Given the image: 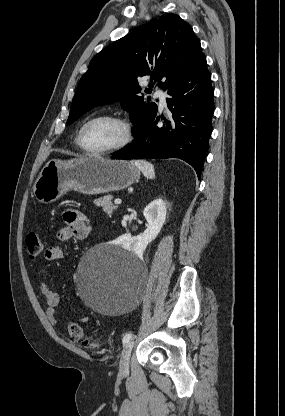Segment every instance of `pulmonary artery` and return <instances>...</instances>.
<instances>
[{
    "label": "pulmonary artery",
    "mask_w": 285,
    "mask_h": 416,
    "mask_svg": "<svg viewBox=\"0 0 285 416\" xmlns=\"http://www.w3.org/2000/svg\"><path fill=\"white\" fill-rule=\"evenodd\" d=\"M154 97H156L159 100V106L161 109L167 108V99L169 96L165 89L161 87H156L154 89Z\"/></svg>",
    "instance_id": "1"
}]
</instances>
